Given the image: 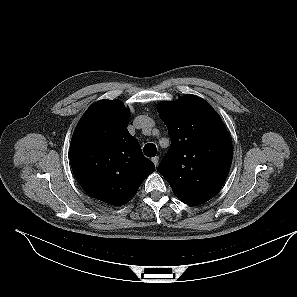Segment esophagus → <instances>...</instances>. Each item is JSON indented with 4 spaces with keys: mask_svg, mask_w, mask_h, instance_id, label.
Here are the masks:
<instances>
[{
    "mask_svg": "<svg viewBox=\"0 0 297 297\" xmlns=\"http://www.w3.org/2000/svg\"><path fill=\"white\" fill-rule=\"evenodd\" d=\"M152 162L154 163V165L157 167L158 166V162H159V157L155 156L152 158Z\"/></svg>",
    "mask_w": 297,
    "mask_h": 297,
    "instance_id": "34e87169",
    "label": "esophagus"
}]
</instances>
